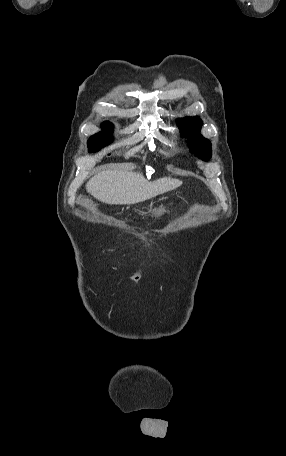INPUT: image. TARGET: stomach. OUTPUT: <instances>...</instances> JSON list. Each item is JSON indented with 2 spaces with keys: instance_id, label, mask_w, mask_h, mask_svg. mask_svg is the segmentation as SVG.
<instances>
[{
  "instance_id": "1",
  "label": "stomach",
  "mask_w": 286,
  "mask_h": 456,
  "mask_svg": "<svg viewBox=\"0 0 286 456\" xmlns=\"http://www.w3.org/2000/svg\"><path fill=\"white\" fill-rule=\"evenodd\" d=\"M166 212H167V210L163 206H160L158 208H154L153 210L149 211V213H151V215L155 216V217H160Z\"/></svg>"
}]
</instances>
